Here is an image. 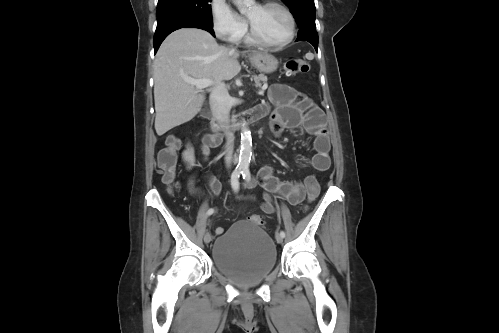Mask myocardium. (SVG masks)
<instances>
[{
  "label": "myocardium",
  "instance_id": "1",
  "mask_svg": "<svg viewBox=\"0 0 499 333\" xmlns=\"http://www.w3.org/2000/svg\"><path fill=\"white\" fill-rule=\"evenodd\" d=\"M260 6L265 7V8L276 7V8L281 9L288 17L289 25H290L289 33H288V36L282 41L270 42V41L263 39L256 32V30L254 29L252 24L248 21V35H249L250 39L254 43H256L260 46L271 47V48H280V47H284V46L288 45L289 43H291L295 37V32H296V21H295L294 15L291 12V10L283 3L278 2V1H272V0H267L263 3H261Z\"/></svg>",
  "mask_w": 499,
  "mask_h": 333
}]
</instances>
